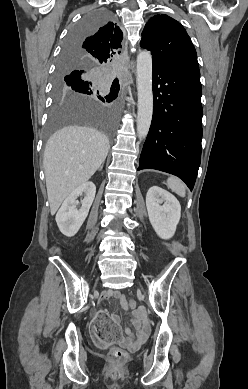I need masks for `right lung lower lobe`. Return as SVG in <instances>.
Listing matches in <instances>:
<instances>
[{
	"label": "right lung lower lobe",
	"instance_id": "1",
	"mask_svg": "<svg viewBox=\"0 0 248 389\" xmlns=\"http://www.w3.org/2000/svg\"><path fill=\"white\" fill-rule=\"evenodd\" d=\"M81 40H82V39L77 40V41H75V43L80 42ZM84 72H85V71H83V70H75V71L71 72V73L68 75V79H72V78H74L75 76H77V75H79V74H82V73H84ZM112 84H113L114 86H116L118 90L120 89L119 83H117V84L112 83Z\"/></svg>",
	"mask_w": 248,
	"mask_h": 389
}]
</instances>
